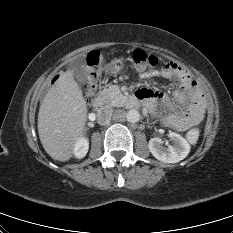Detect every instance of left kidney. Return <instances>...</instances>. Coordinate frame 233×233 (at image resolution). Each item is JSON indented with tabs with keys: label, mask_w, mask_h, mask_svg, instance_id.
Segmentation results:
<instances>
[{
	"label": "left kidney",
	"mask_w": 233,
	"mask_h": 233,
	"mask_svg": "<svg viewBox=\"0 0 233 233\" xmlns=\"http://www.w3.org/2000/svg\"><path fill=\"white\" fill-rule=\"evenodd\" d=\"M169 137L172 140V145L167 147L162 146V140L152 138L149 141L148 147L151 154L164 163H177L183 160L190 152V144L180 134L170 132Z\"/></svg>",
	"instance_id": "left-kidney-1"
}]
</instances>
